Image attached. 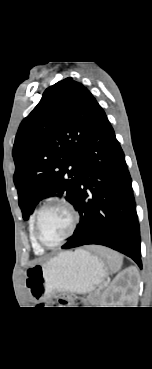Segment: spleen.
I'll list each match as a JSON object with an SVG mask.
<instances>
[{
  "label": "spleen",
  "mask_w": 152,
  "mask_h": 369,
  "mask_svg": "<svg viewBox=\"0 0 152 369\" xmlns=\"http://www.w3.org/2000/svg\"><path fill=\"white\" fill-rule=\"evenodd\" d=\"M102 255L107 258L112 271L116 272L121 268L123 258L119 253L107 249L102 252Z\"/></svg>",
  "instance_id": "1"
}]
</instances>
